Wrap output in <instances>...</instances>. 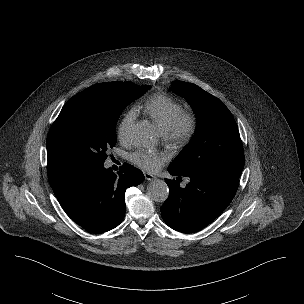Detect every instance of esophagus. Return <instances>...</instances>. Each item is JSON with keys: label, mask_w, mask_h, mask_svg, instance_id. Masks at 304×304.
Wrapping results in <instances>:
<instances>
[{"label": "esophagus", "mask_w": 304, "mask_h": 304, "mask_svg": "<svg viewBox=\"0 0 304 304\" xmlns=\"http://www.w3.org/2000/svg\"><path fill=\"white\" fill-rule=\"evenodd\" d=\"M144 177L148 181H153V180H156V178H157L155 175H153L151 173H144Z\"/></svg>", "instance_id": "1"}]
</instances>
